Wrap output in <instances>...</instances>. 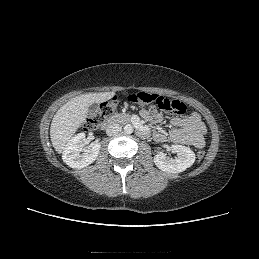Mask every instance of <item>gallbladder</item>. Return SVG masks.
I'll list each match as a JSON object with an SVG mask.
<instances>
[{
    "instance_id": "bac80fb5",
    "label": "gallbladder",
    "mask_w": 259,
    "mask_h": 259,
    "mask_svg": "<svg viewBox=\"0 0 259 259\" xmlns=\"http://www.w3.org/2000/svg\"><path fill=\"white\" fill-rule=\"evenodd\" d=\"M99 110V104L98 103H93L90 105L89 109H88V114L91 116H94L97 111Z\"/></svg>"
}]
</instances>
